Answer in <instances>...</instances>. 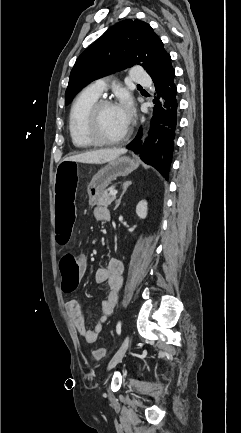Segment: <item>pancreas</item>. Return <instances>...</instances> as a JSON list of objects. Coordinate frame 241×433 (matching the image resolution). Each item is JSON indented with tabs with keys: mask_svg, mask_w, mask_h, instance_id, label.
I'll use <instances>...</instances> for the list:
<instances>
[{
	"mask_svg": "<svg viewBox=\"0 0 241 433\" xmlns=\"http://www.w3.org/2000/svg\"><path fill=\"white\" fill-rule=\"evenodd\" d=\"M115 196H111L107 190H105L96 200L95 204L97 206L108 207L115 200Z\"/></svg>",
	"mask_w": 241,
	"mask_h": 433,
	"instance_id": "pancreas-1",
	"label": "pancreas"
}]
</instances>
